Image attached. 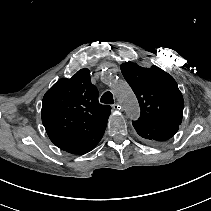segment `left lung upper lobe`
I'll list each match as a JSON object with an SVG mask.
<instances>
[{
	"instance_id": "obj_1",
	"label": "left lung upper lobe",
	"mask_w": 211,
	"mask_h": 211,
	"mask_svg": "<svg viewBox=\"0 0 211 211\" xmlns=\"http://www.w3.org/2000/svg\"><path fill=\"white\" fill-rule=\"evenodd\" d=\"M121 71L141 109L133 121L136 132L150 146H159L175 135L182 122L184 101L174 78L158 68L126 62Z\"/></svg>"
}]
</instances>
